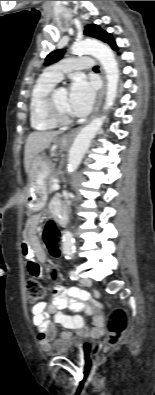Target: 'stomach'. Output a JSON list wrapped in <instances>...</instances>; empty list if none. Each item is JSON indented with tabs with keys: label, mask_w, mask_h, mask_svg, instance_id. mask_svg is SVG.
<instances>
[{
	"label": "stomach",
	"mask_w": 155,
	"mask_h": 395,
	"mask_svg": "<svg viewBox=\"0 0 155 395\" xmlns=\"http://www.w3.org/2000/svg\"><path fill=\"white\" fill-rule=\"evenodd\" d=\"M56 142L62 147H66L68 144L64 137L57 139ZM52 172L53 165L41 156H36L31 164L29 183L25 194L26 204L30 211L36 212L45 206L47 201L46 183Z\"/></svg>",
	"instance_id": "0dacf381"
}]
</instances>
